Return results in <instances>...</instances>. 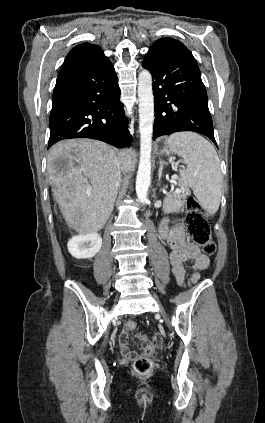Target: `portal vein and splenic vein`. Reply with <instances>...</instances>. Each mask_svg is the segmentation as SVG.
<instances>
[{
  "label": "portal vein and splenic vein",
  "instance_id": "18ae733b",
  "mask_svg": "<svg viewBox=\"0 0 265 423\" xmlns=\"http://www.w3.org/2000/svg\"><path fill=\"white\" fill-rule=\"evenodd\" d=\"M176 192H177V193H180V192H181V190H180V189H176Z\"/></svg>",
  "mask_w": 265,
  "mask_h": 423
}]
</instances>
